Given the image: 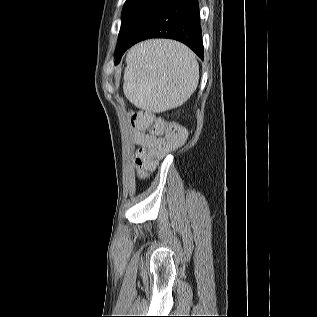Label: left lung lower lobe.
<instances>
[{"mask_svg":"<svg viewBox=\"0 0 317 317\" xmlns=\"http://www.w3.org/2000/svg\"><path fill=\"white\" fill-rule=\"evenodd\" d=\"M150 38L178 40L186 44L203 59V43L197 0H166L130 41L117 45L116 63H119L128 48Z\"/></svg>","mask_w":317,"mask_h":317,"instance_id":"0a47b994","label":"left lung lower lobe"}]
</instances>
